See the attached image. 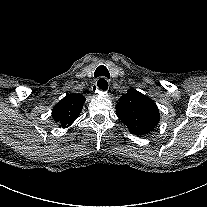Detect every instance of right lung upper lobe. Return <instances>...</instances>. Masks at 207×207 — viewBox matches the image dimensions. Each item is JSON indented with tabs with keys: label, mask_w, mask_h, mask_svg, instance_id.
Segmentation results:
<instances>
[{
	"label": "right lung upper lobe",
	"mask_w": 207,
	"mask_h": 207,
	"mask_svg": "<svg viewBox=\"0 0 207 207\" xmlns=\"http://www.w3.org/2000/svg\"><path fill=\"white\" fill-rule=\"evenodd\" d=\"M85 100L83 95L67 94L54 106L52 111L53 119L61 127H69L79 117Z\"/></svg>",
	"instance_id": "cb5924a9"
}]
</instances>
